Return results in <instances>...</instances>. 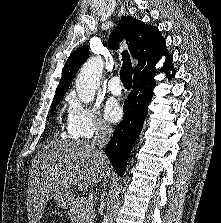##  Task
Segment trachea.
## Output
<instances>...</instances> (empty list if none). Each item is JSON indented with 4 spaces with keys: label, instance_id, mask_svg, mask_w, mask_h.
<instances>
[{
    "label": "trachea",
    "instance_id": "1",
    "mask_svg": "<svg viewBox=\"0 0 221 223\" xmlns=\"http://www.w3.org/2000/svg\"><path fill=\"white\" fill-rule=\"evenodd\" d=\"M122 60L123 66L120 71V79L124 87L130 88L132 86L133 67L127 50L122 53Z\"/></svg>",
    "mask_w": 221,
    "mask_h": 223
}]
</instances>
